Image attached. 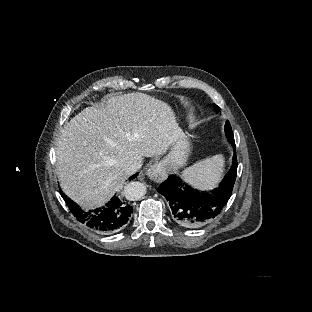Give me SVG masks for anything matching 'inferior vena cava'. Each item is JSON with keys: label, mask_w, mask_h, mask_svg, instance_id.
I'll list each match as a JSON object with an SVG mask.
<instances>
[{"label": "inferior vena cava", "mask_w": 312, "mask_h": 312, "mask_svg": "<svg viewBox=\"0 0 312 312\" xmlns=\"http://www.w3.org/2000/svg\"><path fill=\"white\" fill-rule=\"evenodd\" d=\"M143 160L137 159L135 160L127 169V172L129 175L134 174L137 170H139L142 167Z\"/></svg>", "instance_id": "602c4592"}]
</instances>
